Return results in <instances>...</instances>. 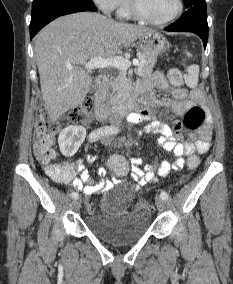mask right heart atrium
<instances>
[{"instance_id": "d8ad5b80", "label": "right heart atrium", "mask_w": 233, "mask_h": 284, "mask_svg": "<svg viewBox=\"0 0 233 284\" xmlns=\"http://www.w3.org/2000/svg\"><path fill=\"white\" fill-rule=\"evenodd\" d=\"M94 3L104 12H112L121 5L123 0H93Z\"/></svg>"}]
</instances>
